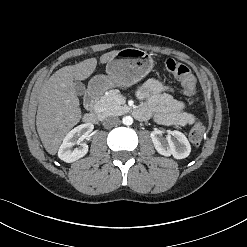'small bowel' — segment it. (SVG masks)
Listing matches in <instances>:
<instances>
[{
  "mask_svg": "<svg viewBox=\"0 0 247 247\" xmlns=\"http://www.w3.org/2000/svg\"><path fill=\"white\" fill-rule=\"evenodd\" d=\"M136 95L145 101L136 110V116L146 119L153 115L164 125H190L195 121L194 115L184 111V103L174 98L173 89L157 79H148L136 89Z\"/></svg>",
  "mask_w": 247,
  "mask_h": 247,
  "instance_id": "obj_1",
  "label": "small bowel"
}]
</instances>
